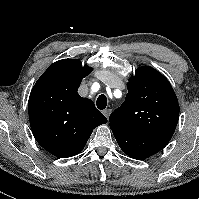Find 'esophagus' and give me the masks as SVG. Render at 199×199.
Segmentation results:
<instances>
[{"mask_svg":"<svg viewBox=\"0 0 199 199\" xmlns=\"http://www.w3.org/2000/svg\"><path fill=\"white\" fill-rule=\"evenodd\" d=\"M110 113H111V110H110V109H105V110L103 111V114L106 116V118L109 117Z\"/></svg>","mask_w":199,"mask_h":199,"instance_id":"1","label":"esophagus"}]
</instances>
